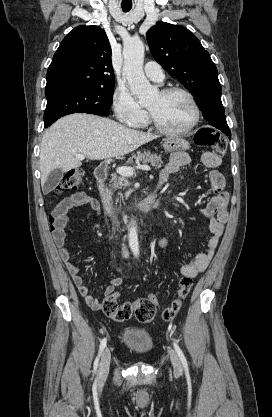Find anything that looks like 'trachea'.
<instances>
[{
    "instance_id": "3493384b",
    "label": "trachea",
    "mask_w": 272,
    "mask_h": 417,
    "mask_svg": "<svg viewBox=\"0 0 272 417\" xmlns=\"http://www.w3.org/2000/svg\"><path fill=\"white\" fill-rule=\"evenodd\" d=\"M130 9H131V7H123V6H122V10H123L124 12H128V11H130Z\"/></svg>"
}]
</instances>
